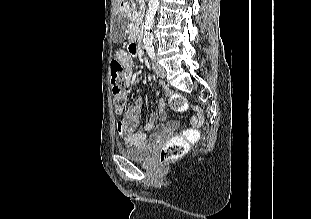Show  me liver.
I'll use <instances>...</instances> for the list:
<instances>
[{
	"label": "liver",
	"mask_w": 311,
	"mask_h": 219,
	"mask_svg": "<svg viewBox=\"0 0 311 219\" xmlns=\"http://www.w3.org/2000/svg\"><path fill=\"white\" fill-rule=\"evenodd\" d=\"M124 0H112V5H113V8H114V16L117 14V11H118V8L119 6L121 5V3L123 2Z\"/></svg>",
	"instance_id": "liver-1"
}]
</instances>
